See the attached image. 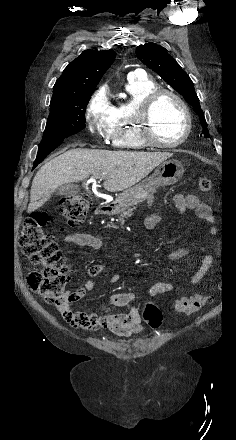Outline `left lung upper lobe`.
<instances>
[{
  "mask_svg": "<svg viewBox=\"0 0 236 440\" xmlns=\"http://www.w3.org/2000/svg\"><path fill=\"white\" fill-rule=\"evenodd\" d=\"M136 56L143 64L159 74L161 78H163L195 108V111L202 122V127L204 129L203 134L208 138L209 131L206 128L205 117L200 107L199 99L195 93L193 82L176 60L168 54L166 49L159 47L154 43H147L138 46Z\"/></svg>",
  "mask_w": 236,
  "mask_h": 440,
  "instance_id": "obj_1",
  "label": "left lung upper lobe"
}]
</instances>
